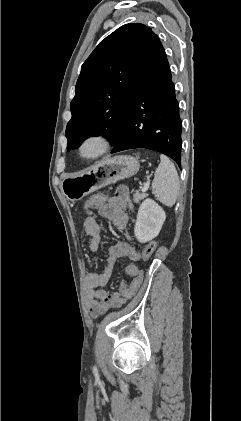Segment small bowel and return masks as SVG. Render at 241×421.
<instances>
[{"mask_svg":"<svg viewBox=\"0 0 241 421\" xmlns=\"http://www.w3.org/2000/svg\"><path fill=\"white\" fill-rule=\"evenodd\" d=\"M131 206L128 187L119 186L114 196L107 203L98 207L97 215L92 214L85 219L83 229L89 237L91 250H97L101 243V227L97 221L98 216L113 221L121 231L129 236L126 232L128 223L126 209ZM123 257L137 260L140 258V253L129 243L119 241L109 248L104 271L102 273L91 272L85 277L84 291L89 312L94 318L126 302L119 293L105 289L116 262Z\"/></svg>","mask_w":241,"mask_h":421,"instance_id":"small-bowel-1","label":"small bowel"}]
</instances>
